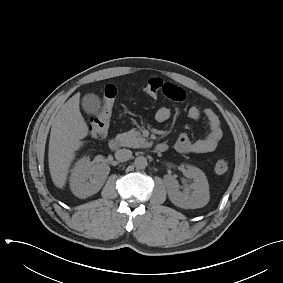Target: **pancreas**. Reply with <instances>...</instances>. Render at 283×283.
Masks as SVG:
<instances>
[{"label": "pancreas", "instance_id": "1", "mask_svg": "<svg viewBox=\"0 0 283 283\" xmlns=\"http://www.w3.org/2000/svg\"><path fill=\"white\" fill-rule=\"evenodd\" d=\"M117 139L124 147L144 148L150 146V143L136 129L117 135Z\"/></svg>", "mask_w": 283, "mask_h": 283}]
</instances>
